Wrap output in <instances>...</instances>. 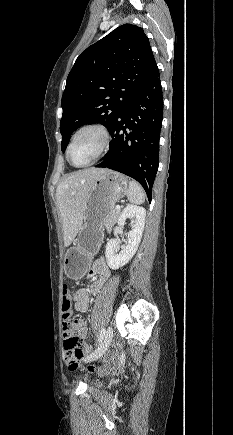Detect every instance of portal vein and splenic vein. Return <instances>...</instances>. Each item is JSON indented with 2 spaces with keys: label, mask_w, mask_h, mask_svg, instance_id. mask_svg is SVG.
Segmentation results:
<instances>
[{
  "label": "portal vein and splenic vein",
  "mask_w": 233,
  "mask_h": 435,
  "mask_svg": "<svg viewBox=\"0 0 233 435\" xmlns=\"http://www.w3.org/2000/svg\"><path fill=\"white\" fill-rule=\"evenodd\" d=\"M116 209L119 210V209H120V206H116Z\"/></svg>",
  "instance_id": "18ae733b"
}]
</instances>
